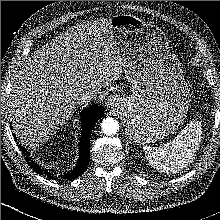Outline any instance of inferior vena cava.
Returning <instances> with one entry per match:
<instances>
[{"label": "inferior vena cava", "instance_id": "1", "mask_svg": "<svg viewBox=\"0 0 220 220\" xmlns=\"http://www.w3.org/2000/svg\"><path fill=\"white\" fill-rule=\"evenodd\" d=\"M97 92L94 90L83 92L78 98V104H84L96 99Z\"/></svg>", "mask_w": 220, "mask_h": 220}]
</instances>
